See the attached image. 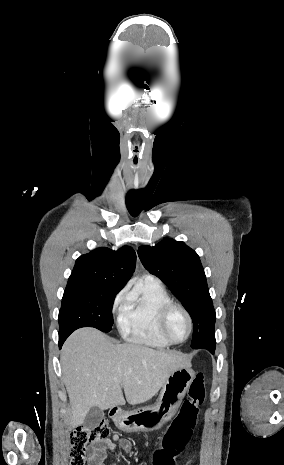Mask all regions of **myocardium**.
<instances>
[{"instance_id": "f54148a6", "label": "myocardium", "mask_w": 284, "mask_h": 465, "mask_svg": "<svg viewBox=\"0 0 284 465\" xmlns=\"http://www.w3.org/2000/svg\"><path fill=\"white\" fill-rule=\"evenodd\" d=\"M175 310H181L185 314V316L187 318V321H188V333H187V336L185 337V339H183L182 341H174L168 335L167 329H166L168 319H169L170 315ZM158 331H159V334L161 335V337L166 342H168L169 344H171V345L184 344L185 342H187L189 340V338L191 337L192 332H193V319H192V316L185 307H183V306H181L179 304H176V303H170V304H168L167 306L164 307V309L162 310V312H161V314L159 316Z\"/></svg>"}]
</instances>
